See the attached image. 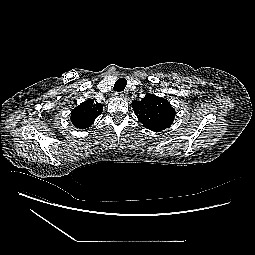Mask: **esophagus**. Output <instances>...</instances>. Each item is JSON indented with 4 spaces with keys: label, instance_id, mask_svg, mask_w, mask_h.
<instances>
[{
    "label": "esophagus",
    "instance_id": "1",
    "mask_svg": "<svg viewBox=\"0 0 255 255\" xmlns=\"http://www.w3.org/2000/svg\"><path fill=\"white\" fill-rule=\"evenodd\" d=\"M115 95L118 98H124V96H125L123 92H117V93H115Z\"/></svg>",
    "mask_w": 255,
    "mask_h": 255
}]
</instances>
